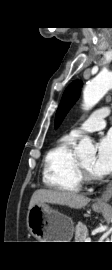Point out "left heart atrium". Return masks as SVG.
I'll use <instances>...</instances> for the list:
<instances>
[{
    "label": "left heart atrium",
    "instance_id": "left-heart-atrium-1",
    "mask_svg": "<svg viewBox=\"0 0 112 270\" xmlns=\"http://www.w3.org/2000/svg\"><path fill=\"white\" fill-rule=\"evenodd\" d=\"M91 171L96 176H105L112 172V132L99 140Z\"/></svg>",
    "mask_w": 112,
    "mask_h": 270
}]
</instances>
